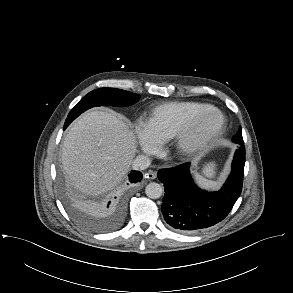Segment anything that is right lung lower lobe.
<instances>
[{
	"instance_id": "right-lung-lower-lobe-1",
	"label": "right lung lower lobe",
	"mask_w": 293,
	"mask_h": 293,
	"mask_svg": "<svg viewBox=\"0 0 293 293\" xmlns=\"http://www.w3.org/2000/svg\"><path fill=\"white\" fill-rule=\"evenodd\" d=\"M141 179H142V173L139 171H132L129 174V181L131 183L139 182L141 181ZM96 209L104 213H110L112 214L113 217L121 219L123 216L124 204L122 199H119L117 197H112L98 204L96 206Z\"/></svg>"
}]
</instances>
